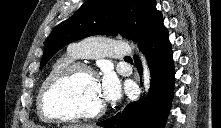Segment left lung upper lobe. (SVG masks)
Instances as JSON below:
<instances>
[{"instance_id": "5c2ea615", "label": "left lung upper lobe", "mask_w": 221, "mask_h": 128, "mask_svg": "<svg viewBox=\"0 0 221 128\" xmlns=\"http://www.w3.org/2000/svg\"><path fill=\"white\" fill-rule=\"evenodd\" d=\"M162 19L155 0H87L47 38L40 68L61 48L92 35L123 37L142 44Z\"/></svg>"}]
</instances>
